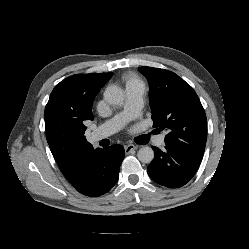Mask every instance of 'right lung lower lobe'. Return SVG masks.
<instances>
[{
	"label": "right lung lower lobe",
	"mask_w": 249,
	"mask_h": 249,
	"mask_svg": "<svg viewBox=\"0 0 249 249\" xmlns=\"http://www.w3.org/2000/svg\"><path fill=\"white\" fill-rule=\"evenodd\" d=\"M124 156V149L119 144L96 149L78 158L72 173L66 178L81 194L103 195L118 181Z\"/></svg>",
	"instance_id": "right-lung-lower-lobe-1"
}]
</instances>
